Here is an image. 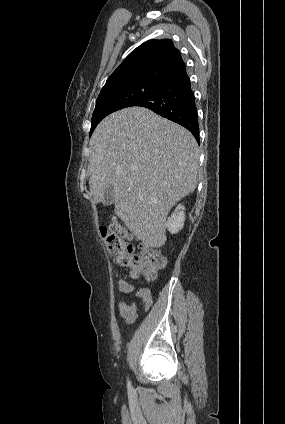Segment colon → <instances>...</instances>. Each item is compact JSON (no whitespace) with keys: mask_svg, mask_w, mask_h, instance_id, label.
I'll list each match as a JSON object with an SVG mask.
<instances>
[{"mask_svg":"<svg viewBox=\"0 0 285 424\" xmlns=\"http://www.w3.org/2000/svg\"><path fill=\"white\" fill-rule=\"evenodd\" d=\"M100 232L114 262L129 269L132 278L154 280L166 266V258L158 250L144 247L140 254L136 253L129 242L130 232L116 219L101 225Z\"/></svg>","mask_w":285,"mask_h":424,"instance_id":"obj_1","label":"colon"}]
</instances>
